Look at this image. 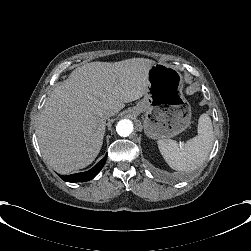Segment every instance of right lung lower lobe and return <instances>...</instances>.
<instances>
[{"instance_id": "98d812e1", "label": "right lung lower lobe", "mask_w": 251, "mask_h": 251, "mask_svg": "<svg viewBox=\"0 0 251 251\" xmlns=\"http://www.w3.org/2000/svg\"><path fill=\"white\" fill-rule=\"evenodd\" d=\"M107 159V155L98 162L92 169L82 172V173H76L68 176H62L59 175L64 181L66 182H85L93 179L103 168L105 162Z\"/></svg>"}]
</instances>
